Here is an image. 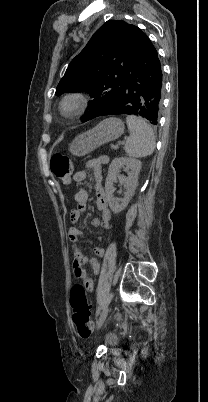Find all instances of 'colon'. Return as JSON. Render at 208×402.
I'll return each mask as SVG.
<instances>
[{
	"mask_svg": "<svg viewBox=\"0 0 208 402\" xmlns=\"http://www.w3.org/2000/svg\"><path fill=\"white\" fill-rule=\"evenodd\" d=\"M50 170L64 184L72 180V163L67 155L56 153L50 159ZM71 307L73 321L82 338H88L92 332L91 310L85 289L81 284H75L71 290Z\"/></svg>",
	"mask_w": 208,
	"mask_h": 402,
	"instance_id": "colon-1",
	"label": "colon"
}]
</instances>
